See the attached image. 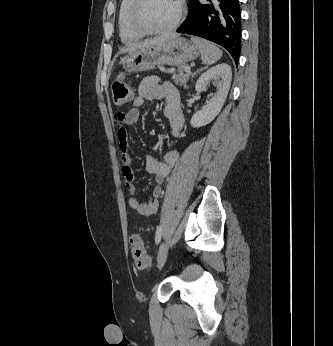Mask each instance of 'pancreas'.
<instances>
[{
    "label": "pancreas",
    "instance_id": "cf45deb5",
    "mask_svg": "<svg viewBox=\"0 0 333 346\" xmlns=\"http://www.w3.org/2000/svg\"><path fill=\"white\" fill-rule=\"evenodd\" d=\"M185 68V66L178 68L177 73H173L172 79L174 80L175 84L187 88V82L191 73H185Z\"/></svg>",
    "mask_w": 333,
    "mask_h": 346
}]
</instances>
